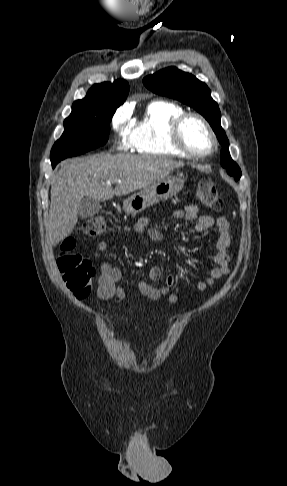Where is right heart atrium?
<instances>
[{"mask_svg": "<svg viewBox=\"0 0 287 486\" xmlns=\"http://www.w3.org/2000/svg\"><path fill=\"white\" fill-rule=\"evenodd\" d=\"M128 114L124 110L117 111L112 119L111 126L114 130L120 133V139L118 141V149L126 151L131 148L130 141L127 136L126 124L128 121Z\"/></svg>", "mask_w": 287, "mask_h": 486, "instance_id": "right-heart-atrium-1", "label": "right heart atrium"}]
</instances>
